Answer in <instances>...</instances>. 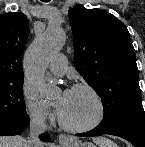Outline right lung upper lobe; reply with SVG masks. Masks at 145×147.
Instances as JSON below:
<instances>
[{
    "label": "right lung upper lobe",
    "instance_id": "obj_1",
    "mask_svg": "<svg viewBox=\"0 0 145 147\" xmlns=\"http://www.w3.org/2000/svg\"><path fill=\"white\" fill-rule=\"evenodd\" d=\"M29 33L23 13L0 15V83L24 77L21 57Z\"/></svg>",
    "mask_w": 145,
    "mask_h": 147
}]
</instances>
